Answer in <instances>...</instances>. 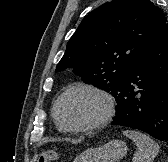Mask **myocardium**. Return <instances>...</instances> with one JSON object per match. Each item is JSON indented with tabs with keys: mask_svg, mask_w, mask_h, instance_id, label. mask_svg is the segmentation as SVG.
Returning <instances> with one entry per match:
<instances>
[{
	"mask_svg": "<svg viewBox=\"0 0 168 162\" xmlns=\"http://www.w3.org/2000/svg\"><path fill=\"white\" fill-rule=\"evenodd\" d=\"M76 91H89L102 99V101L104 102V112L101 115V117H99L97 120L93 122H90L84 125H79V126H68L61 121V118L59 115L60 104L67 95ZM114 111H115V105H114L113 98L107 91L95 85L85 84V83L76 84L74 86L67 88L58 96L53 106V116L57 126L61 130L67 131V132H85V131H92V130L104 127L109 123V121L113 117Z\"/></svg>",
	"mask_w": 168,
	"mask_h": 162,
	"instance_id": "f54148a6",
	"label": "myocardium"
}]
</instances>
